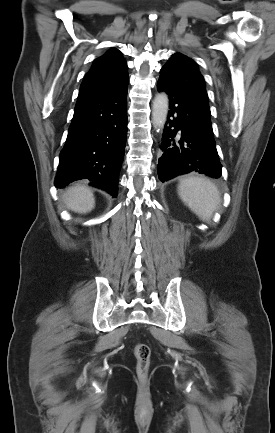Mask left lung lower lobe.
I'll return each instance as SVG.
<instances>
[{
  "label": "left lung lower lobe",
  "instance_id": "obj_1",
  "mask_svg": "<svg viewBox=\"0 0 275 433\" xmlns=\"http://www.w3.org/2000/svg\"><path fill=\"white\" fill-rule=\"evenodd\" d=\"M158 91L169 95L170 110L160 145L158 177L165 182L189 172L221 177L211 121L204 110L164 79L157 82ZM170 117H172L170 119Z\"/></svg>",
  "mask_w": 275,
  "mask_h": 433
}]
</instances>
